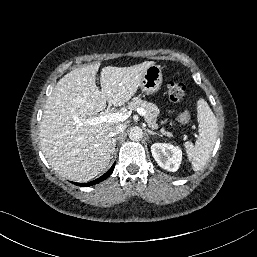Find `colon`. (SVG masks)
Masks as SVG:
<instances>
[{"mask_svg": "<svg viewBox=\"0 0 257 257\" xmlns=\"http://www.w3.org/2000/svg\"><path fill=\"white\" fill-rule=\"evenodd\" d=\"M186 92V87L179 81H169L167 84V93L172 101H180ZM179 121L182 124H187L190 121L189 114L184 111L179 116Z\"/></svg>", "mask_w": 257, "mask_h": 257, "instance_id": "colon-1", "label": "colon"}]
</instances>
